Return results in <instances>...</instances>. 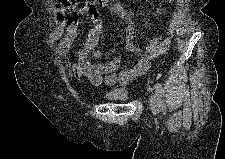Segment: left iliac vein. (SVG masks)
I'll list each match as a JSON object with an SVG mask.
<instances>
[{
  "instance_id": "4c4485c4",
  "label": "left iliac vein",
  "mask_w": 225,
  "mask_h": 159,
  "mask_svg": "<svg viewBox=\"0 0 225 159\" xmlns=\"http://www.w3.org/2000/svg\"><path fill=\"white\" fill-rule=\"evenodd\" d=\"M150 105H151V108H152V112L154 114H156L158 112V110L160 109L159 105H160V101L157 97L156 94H151L150 96Z\"/></svg>"
}]
</instances>
